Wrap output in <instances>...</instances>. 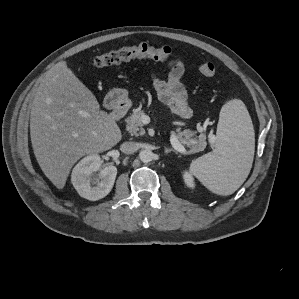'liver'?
I'll return each mask as SVG.
<instances>
[{"label":"liver","instance_id":"liver-1","mask_svg":"<svg viewBox=\"0 0 299 299\" xmlns=\"http://www.w3.org/2000/svg\"><path fill=\"white\" fill-rule=\"evenodd\" d=\"M30 136L41 170L58 189L79 158L109 150L122 138L114 118L100 110L65 61L46 72L35 93Z\"/></svg>","mask_w":299,"mask_h":299}]
</instances>
